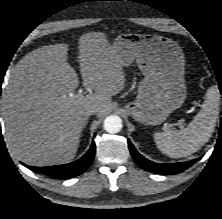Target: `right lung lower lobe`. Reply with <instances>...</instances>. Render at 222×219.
<instances>
[{"label": "right lung lower lobe", "mask_w": 222, "mask_h": 219, "mask_svg": "<svg viewBox=\"0 0 222 219\" xmlns=\"http://www.w3.org/2000/svg\"><path fill=\"white\" fill-rule=\"evenodd\" d=\"M96 152V145L93 142L88 152L80 159L64 165L49 166V167H32L23 164L28 169L42 173L52 178H73L86 171L91 165Z\"/></svg>", "instance_id": "98d812e1"}]
</instances>
